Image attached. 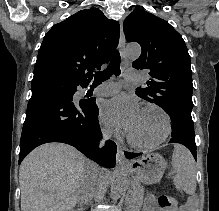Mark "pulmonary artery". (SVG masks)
Returning a JSON list of instances; mask_svg holds the SVG:
<instances>
[{"label":"pulmonary artery","instance_id":"1","mask_svg":"<svg viewBox=\"0 0 219 211\" xmlns=\"http://www.w3.org/2000/svg\"><path fill=\"white\" fill-rule=\"evenodd\" d=\"M124 78L127 81L139 80V75H128V74H139V69H126ZM120 85L117 82L107 81L103 82L92 90V93L97 96H109L119 91ZM87 91L83 90V93Z\"/></svg>","mask_w":219,"mask_h":211}]
</instances>
